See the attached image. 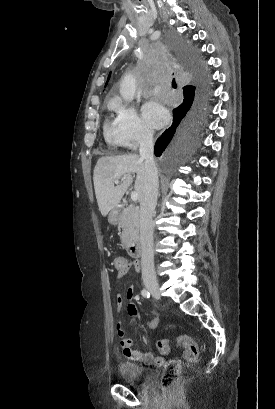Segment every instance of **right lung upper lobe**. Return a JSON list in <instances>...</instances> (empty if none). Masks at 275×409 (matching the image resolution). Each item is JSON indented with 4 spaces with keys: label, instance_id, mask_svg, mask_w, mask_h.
Wrapping results in <instances>:
<instances>
[{
    "label": "right lung upper lobe",
    "instance_id": "right-lung-upper-lobe-1",
    "mask_svg": "<svg viewBox=\"0 0 275 409\" xmlns=\"http://www.w3.org/2000/svg\"><path fill=\"white\" fill-rule=\"evenodd\" d=\"M110 74H111V73H110ZM110 74H109V76H108L107 82L109 81ZM107 82H106V85H107ZM183 91H184V92H183V94H184L183 103H184V102H186V101L192 96V94H193L194 91H195V87L192 86V85H187V86H184V87H183Z\"/></svg>",
    "mask_w": 275,
    "mask_h": 409
}]
</instances>
